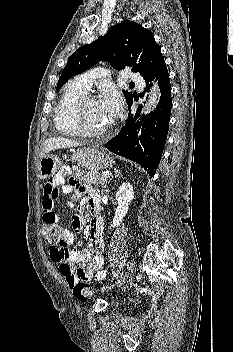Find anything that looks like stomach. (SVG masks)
<instances>
[{
	"label": "stomach",
	"instance_id": "stomach-1",
	"mask_svg": "<svg viewBox=\"0 0 233 352\" xmlns=\"http://www.w3.org/2000/svg\"><path fill=\"white\" fill-rule=\"evenodd\" d=\"M73 162L91 171L103 170L112 166L113 158L97 147H87L77 150L71 157ZM60 159L52 154H47L40 159L39 177L48 179L61 167Z\"/></svg>",
	"mask_w": 233,
	"mask_h": 352
}]
</instances>
